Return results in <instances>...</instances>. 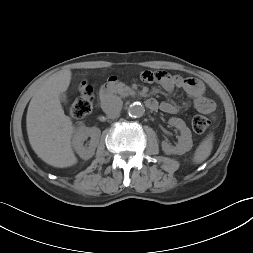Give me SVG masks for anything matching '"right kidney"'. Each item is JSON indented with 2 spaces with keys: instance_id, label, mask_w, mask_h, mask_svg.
Segmentation results:
<instances>
[{
  "instance_id": "1",
  "label": "right kidney",
  "mask_w": 253,
  "mask_h": 253,
  "mask_svg": "<svg viewBox=\"0 0 253 253\" xmlns=\"http://www.w3.org/2000/svg\"><path fill=\"white\" fill-rule=\"evenodd\" d=\"M101 131L97 127H85L81 125L75 132L72 145L76 153L84 160L90 159L99 143ZM91 137L88 145H83L84 141Z\"/></svg>"
}]
</instances>
